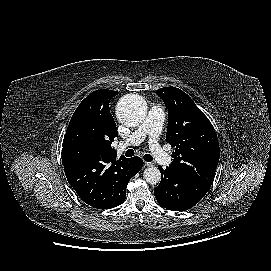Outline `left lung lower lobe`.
Here are the masks:
<instances>
[{"instance_id":"0a47b994","label":"left lung lower lobe","mask_w":271,"mask_h":271,"mask_svg":"<svg viewBox=\"0 0 271 271\" xmlns=\"http://www.w3.org/2000/svg\"><path fill=\"white\" fill-rule=\"evenodd\" d=\"M161 181L154 189L157 202L173 211H185L195 206L208 192L210 186L193 176L169 166H159Z\"/></svg>"}]
</instances>
